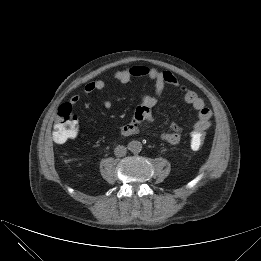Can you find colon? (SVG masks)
I'll use <instances>...</instances> for the list:
<instances>
[{"label":"colon","instance_id":"5ec220e1","mask_svg":"<svg viewBox=\"0 0 261 261\" xmlns=\"http://www.w3.org/2000/svg\"><path fill=\"white\" fill-rule=\"evenodd\" d=\"M78 131L77 118L69 104H63L58 109L53 125L52 136L55 142L64 143L76 136ZM206 138L205 131L193 132L190 136V146L193 150L200 149Z\"/></svg>","mask_w":261,"mask_h":261}]
</instances>
